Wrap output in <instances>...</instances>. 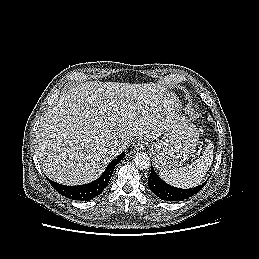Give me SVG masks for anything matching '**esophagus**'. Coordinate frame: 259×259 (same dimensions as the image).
Segmentation results:
<instances>
[{"label": "esophagus", "mask_w": 259, "mask_h": 259, "mask_svg": "<svg viewBox=\"0 0 259 259\" xmlns=\"http://www.w3.org/2000/svg\"><path fill=\"white\" fill-rule=\"evenodd\" d=\"M146 145H147L146 140L143 139V138H140V139H138V140L135 142L134 147H135V149H136L137 151H141V150H144V149H145Z\"/></svg>", "instance_id": "obj_1"}]
</instances>
